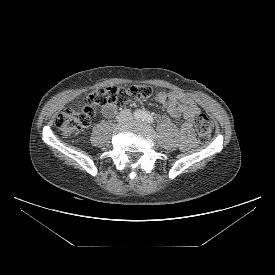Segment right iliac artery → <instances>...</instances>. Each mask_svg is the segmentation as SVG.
I'll return each instance as SVG.
<instances>
[{
  "instance_id": "obj_1",
  "label": "right iliac artery",
  "mask_w": 275,
  "mask_h": 275,
  "mask_svg": "<svg viewBox=\"0 0 275 275\" xmlns=\"http://www.w3.org/2000/svg\"><path fill=\"white\" fill-rule=\"evenodd\" d=\"M136 118L137 119H142L143 118V114L141 112H137L136 113Z\"/></svg>"
}]
</instances>
